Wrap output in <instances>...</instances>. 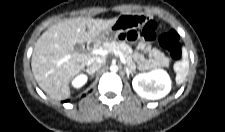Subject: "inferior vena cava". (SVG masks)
<instances>
[{
	"instance_id": "inferior-vena-cava-1",
	"label": "inferior vena cava",
	"mask_w": 225,
	"mask_h": 132,
	"mask_svg": "<svg viewBox=\"0 0 225 132\" xmlns=\"http://www.w3.org/2000/svg\"><path fill=\"white\" fill-rule=\"evenodd\" d=\"M104 63H105V60L103 58L92 57L87 61L86 65L90 72H95L99 70L104 65Z\"/></svg>"
}]
</instances>
